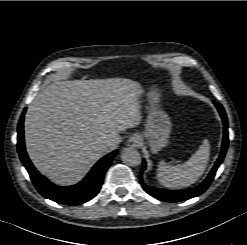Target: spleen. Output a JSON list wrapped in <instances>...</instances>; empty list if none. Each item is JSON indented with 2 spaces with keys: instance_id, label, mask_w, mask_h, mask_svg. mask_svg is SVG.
<instances>
[{
  "instance_id": "spleen-1",
  "label": "spleen",
  "mask_w": 247,
  "mask_h": 245,
  "mask_svg": "<svg viewBox=\"0 0 247 245\" xmlns=\"http://www.w3.org/2000/svg\"><path fill=\"white\" fill-rule=\"evenodd\" d=\"M210 156V145L203 140L199 149L184 163L169 165L161 161L158 165V181L166 188L181 189L194 184L204 173Z\"/></svg>"
}]
</instances>
